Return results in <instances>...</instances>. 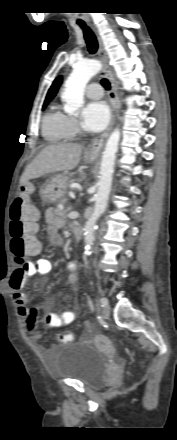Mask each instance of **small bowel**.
Segmentation results:
<instances>
[{
    "label": "small bowel",
    "mask_w": 177,
    "mask_h": 440,
    "mask_svg": "<svg viewBox=\"0 0 177 440\" xmlns=\"http://www.w3.org/2000/svg\"><path fill=\"white\" fill-rule=\"evenodd\" d=\"M45 221L47 224V235L48 240L53 246H62L64 239L59 233L65 225L62 218L55 215L54 210L49 208L45 212ZM52 265L48 259L39 258L34 261H29L26 264L17 267L11 274L9 279V287L13 291V299L17 304L18 314L25 318L29 314V308L27 306V296L23 289L26 285L28 278L35 275H45L51 271ZM69 271V282L75 286L77 283L76 269L77 265L75 262H69L67 265ZM49 304L44 305L45 309H48ZM76 313L74 311H65L62 313H55L49 311L47 313V324L51 327H60L63 325H68L75 320Z\"/></svg>",
    "instance_id": "c3829d8e"
}]
</instances>
